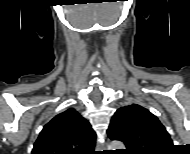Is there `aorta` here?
Listing matches in <instances>:
<instances>
[{
  "label": "aorta",
  "mask_w": 190,
  "mask_h": 154,
  "mask_svg": "<svg viewBox=\"0 0 190 154\" xmlns=\"http://www.w3.org/2000/svg\"><path fill=\"white\" fill-rule=\"evenodd\" d=\"M110 150L124 149V144L120 141H112L109 145Z\"/></svg>",
  "instance_id": "762f6f07"
}]
</instances>
